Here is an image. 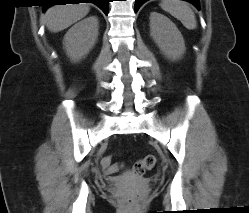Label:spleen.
Here are the masks:
<instances>
[{
	"mask_svg": "<svg viewBox=\"0 0 249 213\" xmlns=\"http://www.w3.org/2000/svg\"><path fill=\"white\" fill-rule=\"evenodd\" d=\"M161 8L182 22L189 30L197 27L195 14L187 2L182 0H162Z\"/></svg>",
	"mask_w": 249,
	"mask_h": 213,
	"instance_id": "obj_1",
	"label": "spleen"
}]
</instances>
